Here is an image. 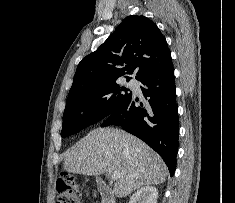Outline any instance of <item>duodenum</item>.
<instances>
[{
    "mask_svg": "<svg viewBox=\"0 0 235 203\" xmlns=\"http://www.w3.org/2000/svg\"><path fill=\"white\" fill-rule=\"evenodd\" d=\"M96 187L101 196L102 203H116L114 192L105 181L97 179Z\"/></svg>",
    "mask_w": 235,
    "mask_h": 203,
    "instance_id": "duodenum-1",
    "label": "duodenum"
}]
</instances>
